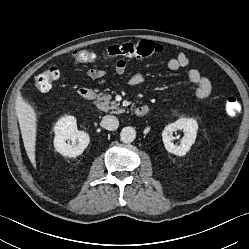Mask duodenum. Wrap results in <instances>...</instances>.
<instances>
[{
	"label": "duodenum",
	"mask_w": 249,
	"mask_h": 249,
	"mask_svg": "<svg viewBox=\"0 0 249 249\" xmlns=\"http://www.w3.org/2000/svg\"><path fill=\"white\" fill-rule=\"evenodd\" d=\"M79 96L86 101H90L94 98V92L90 88L82 87L78 90ZM149 111V107L145 104L139 105L135 108V114L139 117L145 116Z\"/></svg>",
	"instance_id": "1"
}]
</instances>
